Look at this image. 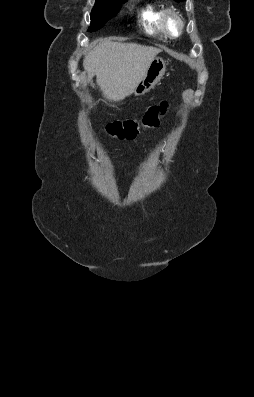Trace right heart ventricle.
Segmentation results:
<instances>
[{"mask_svg": "<svg viewBox=\"0 0 254 397\" xmlns=\"http://www.w3.org/2000/svg\"><path fill=\"white\" fill-rule=\"evenodd\" d=\"M162 9L154 3H147L140 11V17L150 34L165 36L161 25Z\"/></svg>", "mask_w": 254, "mask_h": 397, "instance_id": "right-heart-ventricle-1", "label": "right heart ventricle"}]
</instances>
